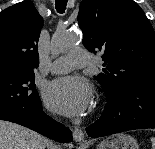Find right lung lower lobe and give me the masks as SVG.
<instances>
[{
  "label": "right lung lower lobe",
  "instance_id": "right-lung-lower-lobe-1",
  "mask_svg": "<svg viewBox=\"0 0 155 149\" xmlns=\"http://www.w3.org/2000/svg\"><path fill=\"white\" fill-rule=\"evenodd\" d=\"M0 120L23 125L60 143L71 142L73 140L69 128L55 121L42 111L41 102L34 112L28 116H14L0 113Z\"/></svg>",
  "mask_w": 155,
  "mask_h": 149
}]
</instances>
